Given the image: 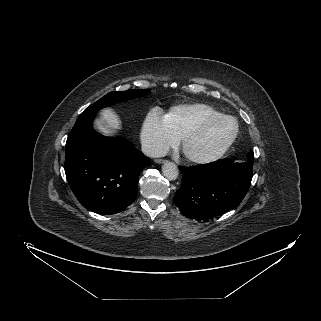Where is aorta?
<instances>
[{
	"mask_svg": "<svg viewBox=\"0 0 321 321\" xmlns=\"http://www.w3.org/2000/svg\"><path fill=\"white\" fill-rule=\"evenodd\" d=\"M163 175L169 180L177 179L179 170L177 166L172 162H165L162 166Z\"/></svg>",
	"mask_w": 321,
	"mask_h": 321,
	"instance_id": "1",
	"label": "aorta"
}]
</instances>
